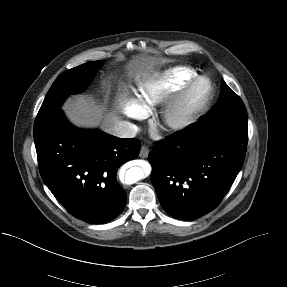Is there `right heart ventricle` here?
Returning a JSON list of instances; mask_svg holds the SVG:
<instances>
[{"label": "right heart ventricle", "mask_w": 287, "mask_h": 287, "mask_svg": "<svg viewBox=\"0 0 287 287\" xmlns=\"http://www.w3.org/2000/svg\"><path fill=\"white\" fill-rule=\"evenodd\" d=\"M195 75V70L186 66H176L164 70L138 82L135 89V101L142 112H150L165 102Z\"/></svg>", "instance_id": "e07e8e85"}]
</instances>
